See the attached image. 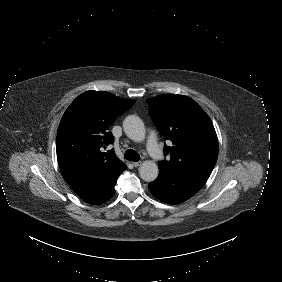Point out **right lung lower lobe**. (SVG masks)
<instances>
[{"instance_id": "obj_1", "label": "right lung lower lobe", "mask_w": 282, "mask_h": 282, "mask_svg": "<svg viewBox=\"0 0 282 282\" xmlns=\"http://www.w3.org/2000/svg\"><path fill=\"white\" fill-rule=\"evenodd\" d=\"M120 174L100 182L89 195L82 199L85 202L94 205L102 204L108 201L115 193L114 186Z\"/></svg>"}]
</instances>
